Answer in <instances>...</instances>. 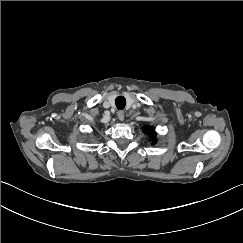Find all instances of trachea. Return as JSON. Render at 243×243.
I'll list each match as a JSON object with an SVG mask.
<instances>
[{
	"instance_id": "3493384b",
	"label": "trachea",
	"mask_w": 243,
	"mask_h": 243,
	"mask_svg": "<svg viewBox=\"0 0 243 243\" xmlns=\"http://www.w3.org/2000/svg\"><path fill=\"white\" fill-rule=\"evenodd\" d=\"M115 105H116L117 109H119V110L124 109L125 108V105H126V99H125V97L118 96L115 99Z\"/></svg>"
}]
</instances>
